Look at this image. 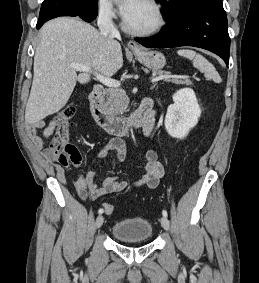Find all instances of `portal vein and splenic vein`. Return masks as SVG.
Listing matches in <instances>:
<instances>
[{
	"mask_svg": "<svg viewBox=\"0 0 259 283\" xmlns=\"http://www.w3.org/2000/svg\"><path fill=\"white\" fill-rule=\"evenodd\" d=\"M69 67L76 69L77 71H82V72H92V69L87 66V65H82V64H70ZM95 77L105 86L111 87V88H117L120 87V82L116 81L114 79L105 77L97 72L94 73ZM171 75H160L158 77H152L151 82H157L163 79H168L171 78Z\"/></svg>",
	"mask_w": 259,
	"mask_h": 283,
	"instance_id": "1",
	"label": "portal vein and splenic vein"
}]
</instances>
